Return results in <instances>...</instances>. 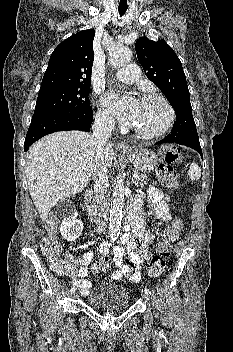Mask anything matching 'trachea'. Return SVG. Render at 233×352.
Wrapping results in <instances>:
<instances>
[{"mask_svg":"<svg viewBox=\"0 0 233 352\" xmlns=\"http://www.w3.org/2000/svg\"><path fill=\"white\" fill-rule=\"evenodd\" d=\"M126 10H127V8L118 7V11H119V14L121 17L125 14Z\"/></svg>","mask_w":233,"mask_h":352,"instance_id":"1","label":"trachea"}]
</instances>
